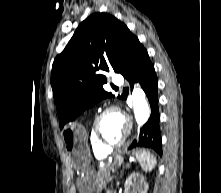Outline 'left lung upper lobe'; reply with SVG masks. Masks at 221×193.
Returning a JSON list of instances; mask_svg holds the SVG:
<instances>
[{
    "mask_svg": "<svg viewBox=\"0 0 221 193\" xmlns=\"http://www.w3.org/2000/svg\"><path fill=\"white\" fill-rule=\"evenodd\" d=\"M138 42L124 23L108 13H94L78 26L55 58L51 72L61 127L86 108L112 96L103 89L107 83L103 72L113 69L121 73Z\"/></svg>",
    "mask_w": 221,
    "mask_h": 193,
    "instance_id": "left-lung-upper-lobe-1",
    "label": "left lung upper lobe"
}]
</instances>
